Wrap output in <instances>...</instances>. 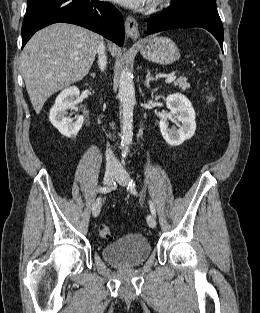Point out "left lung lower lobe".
Segmentation results:
<instances>
[{"label": "left lung lower lobe", "instance_id": "left-lung-lower-lobe-1", "mask_svg": "<svg viewBox=\"0 0 260 313\" xmlns=\"http://www.w3.org/2000/svg\"><path fill=\"white\" fill-rule=\"evenodd\" d=\"M201 27L212 33L223 50V26L217 9L201 6H180L172 3L160 14L151 17L146 34L176 28Z\"/></svg>", "mask_w": 260, "mask_h": 313}]
</instances>
